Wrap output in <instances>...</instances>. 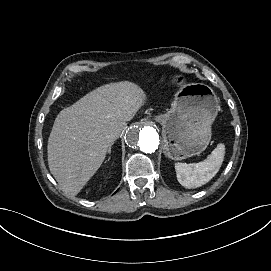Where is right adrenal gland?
Segmentation results:
<instances>
[{
	"mask_svg": "<svg viewBox=\"0 0 271 271\" xmlns=\"http://www.w3.org/2000/svg\"><path fill=\"white\" fill-rule=\"evenodd\" d=\"M111 146H112V144H111L110 147L108 148V153H109V154L111 153Z\"/></svg>",
	"mask_w": 271,
	"mask_h": 271,
	"instance_id": "right-adrenal-gland-1",
	"label": "right adrenal gland"
}]
</instances>
